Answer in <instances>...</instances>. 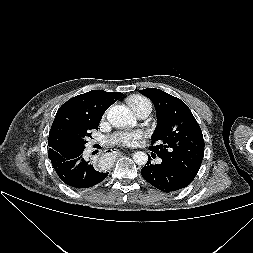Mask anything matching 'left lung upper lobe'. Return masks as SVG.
Returning a JSON list of instances; mask_svg holds the SVG:
<instances>
[{
    "instance_id": "5c2ea615",
    "label": "left lung upper lobe",
    "mask_w": 253,
    "mask_h": 253,
    "mask_svg": "<svg viewBox=\"0 0 253 253\" xmlns=\"http://www.w3.org/2000/svg\"><path fill=\"white\" fill-rule=\"evenodd\" d=\"M154 104L157 126L150 150L195 178L204 156V139L189 107L180 99L155 88L139 91Z\"/></svg>"
}]
</instances>
